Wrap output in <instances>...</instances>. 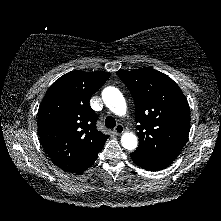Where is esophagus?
Returning a JSON list of instances; mask_svg holds the SVG:
<instances>
[{
	"label": "esophagus",
	"mask_w": 221,
	"mask_h": 221,
	"mask_svg": "<svg viewBox=\"0 0 221 221\" xmlns=\"http://www.w3.org/2000/svg\"><path fill=\"white\" fill-rule=\"evenodd\" d=\"M114 133L116 135H120L124 132V127L121 124H118L115 128H114Z\"/></svg>",
	"instance_id": "esophagus-1"
}]
</instances>
